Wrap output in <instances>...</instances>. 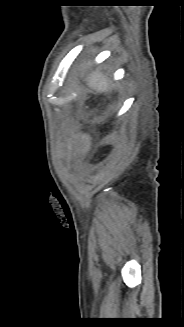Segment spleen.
I'll use <instances>...</instances> for the list:
<instances>
[{
	"label": "spleen",
	"mask_w": 184,
	"mask_h": 327,
	"mask_svg": "<svg viewBox=\"0 0 184 327\" xmlns=\"http://www.w3.org/2000/svg\"><path fill=\"white\" fill-rule=\"evenodd\" d=\"M88 85L94 89L97 93L108 92L110 89V83L107 77L101 72H94L91 74L88 80Z\"/></svg>",
	"instance_id": "spleen-1"
}]
</instances>
